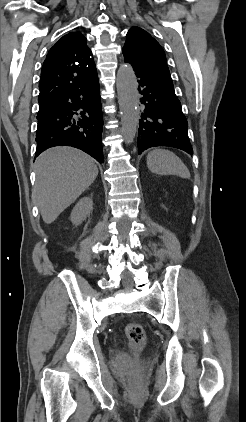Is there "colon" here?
Returning <instances> with one entry per match:
<instances>
[{"label": "colon", "mask_w": 246, "mask_h": 422, "mask_svg": "<svg viewBox=\"0 0 246 422\" xmlns=\"http://www.w3.org/2000/svg\"><path fill=\"white\" fill-rule=\"evenodd\" d=\"M125 335L130 347L134 351H140L146 344L144 328L137 322H129L125 327Z\"/></svg>", "instance_id": "5ec220e1"}]
</instances>
